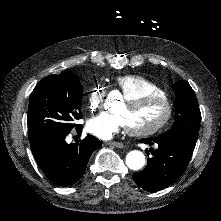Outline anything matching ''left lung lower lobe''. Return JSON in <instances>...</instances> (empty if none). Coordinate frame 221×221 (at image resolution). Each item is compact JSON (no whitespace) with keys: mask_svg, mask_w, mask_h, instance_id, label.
<instances>
[{"mask_svg":"<svg viewBox=\"0 0 221 221\" xmlns=\"http://www.w3.org/2000/svg\"><path fill=\"white\" fill-rule=\"evenodd\" d=\"M142 143L158 148L148 158L147 166L140 172L133 174V178L139 187L148 192L162 190L177 181L185 171L196 142L178 134L164 133L155 138H144ZM148 153V150H146Z\"/></svg>","mask_w":221,"mask_h":221,"instance_id":"1","label":"left lung lower lobe"}]
</instances>
